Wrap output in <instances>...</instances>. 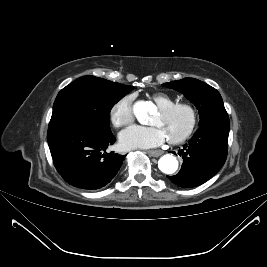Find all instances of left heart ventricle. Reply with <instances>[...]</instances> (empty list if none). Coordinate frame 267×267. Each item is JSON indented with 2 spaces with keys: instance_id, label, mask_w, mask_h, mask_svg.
<instances>
[{
  "instance_id": "1",
  "label": "left heart ventricle",
  "mask_w": 267,
  "mask_h": 267,
  "mask_svg": "<svg viewBox=\"0 0 267 267\" xmlns=\"http://www.w3.org/2000/svg\"><path fill=\"white\" fill-rule=\"evenodd\" d=\"M190 123V114L186 109H177L168 115H162L160 112L152 120L153 126L163 129L167 138H173L181 135Z\"/></svg>"
}]
</instances>
